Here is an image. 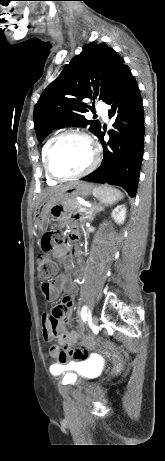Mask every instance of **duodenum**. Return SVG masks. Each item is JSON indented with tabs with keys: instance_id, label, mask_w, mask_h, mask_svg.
<instances>
[{
	"instance_id": "duodenum-1",
	"label": "duodenum",
	"mask_w": 165,
	"mask_h": 461,
	"mask_svg": "<svg viewBox=\"0 0 165 461\" xmlns=\"http://www.w3.org/2000/svg\"><path fill=\"white\" fill-rule=\"evenodd\" d=\"M72 238H73V239L78 238V234H77V233L73 234V235H72Z\"/></svg>"
}]
</instances>
